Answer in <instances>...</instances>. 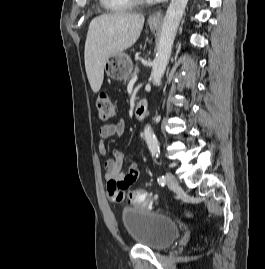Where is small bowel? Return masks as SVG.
<instances>
[{"label":"small bowel","instance_id":"small-bowel-1","mask_svg":"<svg viewBox=\"0 0 265 269\" xmlns=\"http://www.w3.org/2000/svg\"><path fill=\"white\" fill-rule=\"evenodd\" d=\"M125 129L123 120L114 123L104 124L99 128L100 141L98 152L101 155H108L109 150L105 145V140L111 136H121ZM125 155L120 150L114 149L110 152V157L104 163L105 179L108 184L111 199L118 203L123 200L124 190L136 183L141 175L139 164L135 160H130L128 170L122 171ZM120 190V192H119Z\"/></svg>","mask_w":265,"mask_h":269}]
</instances>
